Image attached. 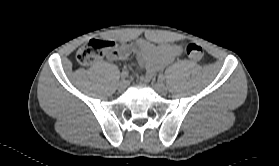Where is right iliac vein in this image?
Wrapping results in <instances>:
<instances>
[{"instance_id":"63e3f726","label":"right iliac vein","mask_w":279,"mask_h":166,"mask_svg":"<svg viewBox=\"0 0 279 166\" xmlns=\"http://www.w3.org/2000/svg\"><path fill=\"white\" fill-rule=\"evenodd\" d=\"M127 85L128 83L126 80L124 79L120 80L117 84L118 91L123 92L126 89Z\"/></svg>"}]
</instances>
